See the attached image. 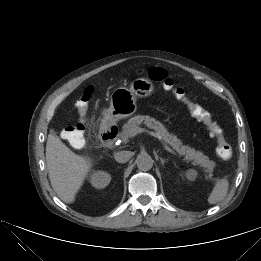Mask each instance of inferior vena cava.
I'll use <instances>...</instances> for the list:
<instances>
[{
    "instance_id": "602c4592",
    "label": "inferior vena cava",
    "mask_w": 261,
    "mask_h": 261,
    "mask_svg": "<svg viewBox=\"0 0 261 261\" xmlns=\"http://www.w3.org/2000/svg\"><path fill=\"white\" fill-rule=\"evenodd\" d=\"M132 157L130 151H119L114 154V158L118 163H126Z\"/></svg>"
}]
</instances>
